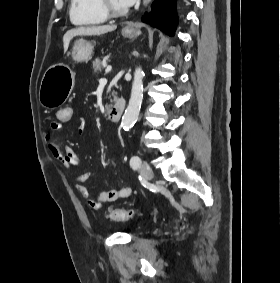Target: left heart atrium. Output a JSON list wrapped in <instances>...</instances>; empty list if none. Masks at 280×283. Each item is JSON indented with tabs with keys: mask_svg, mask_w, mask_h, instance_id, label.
Returning <instances> with one entry per match:
<instances>
[{
	"mask_svg": "<svg viewBox=\"0 0 280 283\" xmlns=\"http://www.w3.org/2000/svg\"><path fill=\"white\" fill-rule=\"evenodd\" d=\"M122 2L125 6L130 7L136 2V0H122Z\"/></svg>",
	"mask_w": 280,
	"mask_h": 283,
	"instance_id": "left-heart-atrium-1",
	"label": "left heart atrium"
}]
</instances>
